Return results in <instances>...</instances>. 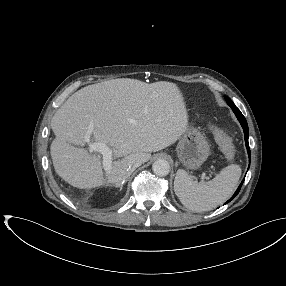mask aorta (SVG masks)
Returning a JSON list of instances; mask_svg holds the SVG:
<instances>
[{
  "label": "aorta",
  "instance_id": "762f6f07",
  "mask_svg": "<svg viewBox=\"0 0 286 286\" xmlns=\"http://www.w3.org/2000/svg\"><path fill=\"white\" fill-rule=\"evenodd\" d=\"M152 170L158 176H166L170 172V165L164 159H157L152 165Z\"/></svg>",
  "mask_w": 286,
  "mask_h": 286
}]
</instances>
